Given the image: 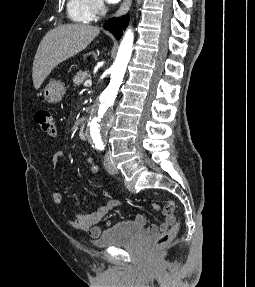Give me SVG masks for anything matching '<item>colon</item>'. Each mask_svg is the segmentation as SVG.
Listing matches in <instances>:
<instances>
[{"label":"colon","mask_w":255,"mask_h":287,"mask_svg":"<svg viewBox=\"0 0 255 287\" xmlns=\"http://www.w3.org/2000/svg\"><path fill=\"white\" fill-rule=\"evenodd\" d=\"M35 120L41 129L53 136L57 133V128L52 113L47 109L39 110L35 115ZM179 230V221H175L170 229L163 232L155 241L156 248H162L174 239Z\"/></svg>","instance_id":"5ec220e1"}]
</instances>
